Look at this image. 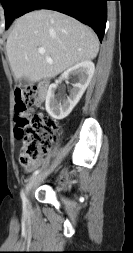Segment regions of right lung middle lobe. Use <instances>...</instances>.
Returning <instances> with one entry per match:
<instances>
[{"instance_id": "obj_1", "label": "right lung middle lobe", "mask_w": 133, "mask_h": 253, "mask_svg": "<svg viewBox=\"0 0 133 253\" xmlns=\"http://www.w3.org/2000/svg\"><path fill=\"white\" fill-rule=\"evenodd\" d=\"M5 11L6 29L16 18L21 4L24 0H0Z\"/></svg>"}]
</instances>
